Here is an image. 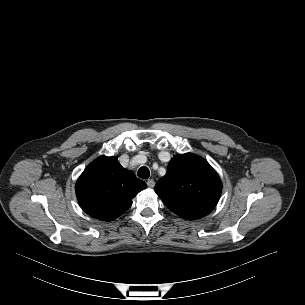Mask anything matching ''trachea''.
I'll list each match as a JSON object with an SVG mask.
<instances>
[{"label":"trachea","instance_id":"1","mask_svg":"<svg viewBox=\"0 0 305 305\" xmlns=\"http://www.w3.org/2000/svg\"><path fill=\"white\" fill-rule=\"evenodd\" d=\"M138 176L143 179H147L150 176V171L146 166H142L138 170Z\"/></svg>","mask_w":305,"mask_h":305}]
</instances>
